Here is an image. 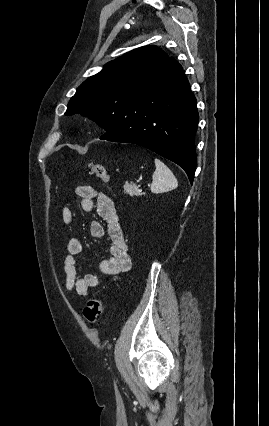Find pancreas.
Segmentation results:
<instances>
[{
	"instance_id": "pancreas-1",
	"label": "pancreas",
	"mask_w": 269,
	"mask_h": 426,
	"mask_svg": "<svg viewBox=\"0 0 269 426\" xmlns=\"http://www.w3.org/2000/svg\"><path fill=\"white\" fill-rule=\"evenodd\" d=\"M138 187L136 184H125L124 186V193L130 195V196H140L142 195L141 192L138 191Z\"/></svg>"
}]
</instances>
